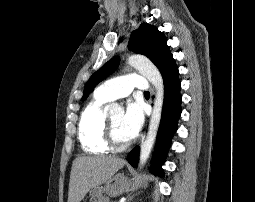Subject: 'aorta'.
<instances>
[{
  "label": "aorta",
  "mask_w": 255,
  "mask_h": 202,
  "mask_svg": "<svg viewBox=\"0 0 255 202\" xmlns=\"http://www.w3.org/2000/svg\"><path fill=\"white\" fill-rule=\"evenodd\" d=\"M128 63L129 65L137 69L141 73V75L147 78L155 87L156 91L153 112L150 118L148 132L146 138L142 141L140 147L139 164L143 166L150 156L160 125L164 100V83L159 70L146 57L141 55H132L128 58ZM107 108L109 109L111 114L123 112V108L117 103H113L107 106Z\"/></svg>",
  "instance_id": "obj_1"
}]
</instances>
